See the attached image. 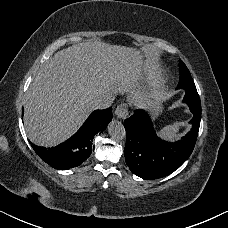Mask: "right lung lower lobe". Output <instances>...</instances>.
<instances>
[{"label": "right lung lower lobe", "instance_id": "98d812e1", "mask_svg": "<svg viewBox=\"0 0 228 228\" xmlns=\"http://www.w3.org/2000/svg\"><path fill=\"white\" fill-rule=\"evenodd\" d=\"M112 120V108L95 110L82 127L64 143L45 148L30 144L37 155L55 169L65 170L79 166L92 152L93 137L103 132Z\"/></svg>", "mask_w": 228, "mask_h": 228}]
</instances>
